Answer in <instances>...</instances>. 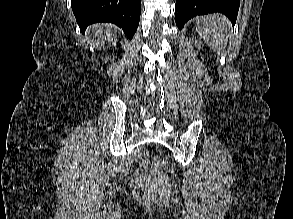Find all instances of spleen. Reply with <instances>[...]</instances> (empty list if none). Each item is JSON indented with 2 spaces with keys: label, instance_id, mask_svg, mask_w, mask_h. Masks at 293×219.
Returning a JSON list of instances; mask_svg holds the SVG:
<instances>
[{
  "label": "spleen",
  "instance_id": "spleen-1",
  "mask_svg": "<svg viewBox=\"0 0 293 219\" xmlns=\"http://www.w3.org/2000/svg\"><path fill=\"white\" fill-rule=\"evenodd\" d=\"M231 23L221 14H210L197 17L196 30L214 51H222L231 36Z\"/></svg>",
  "mask_w": 293,
  "mask_h": 219
}]
</instances>
